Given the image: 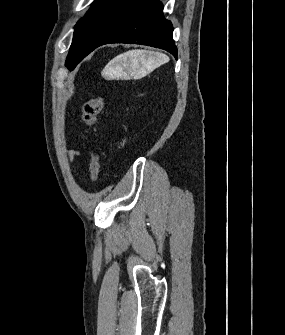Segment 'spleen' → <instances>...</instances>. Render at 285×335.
<instances>
[{"instance_id": "spleen-1", "label": "spleen", "mask_w": 285, "mask_h": 335, "mask_svg": "<svg viewBox=\"0 0 285 335\" xmlns=\"http://www.w3.org/2000/svg\"><path fill=\"white\" fill-rule=\"evenodd\" d=\"M123 62L129 60L132 70L136 68H159L162 64H167L169 62L168 56L165 54H160V52H147V50H132V52H127L122 56Z\"/></svg>"}]
</instances>
